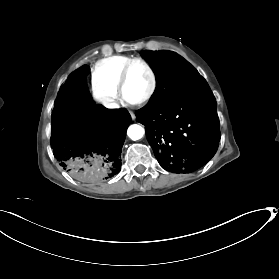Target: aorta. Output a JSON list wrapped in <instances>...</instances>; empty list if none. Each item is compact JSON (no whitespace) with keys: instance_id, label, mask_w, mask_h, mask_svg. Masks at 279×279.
Instances as JSON below:
<instances>
[{"instance_id":"obj_1","label":"aorta","mask_w":279,"mask_h":279,"mask_svg":"<svg viewBox=\"0 0 279 279\" xmlns=\"http://www.w3.org/2000/svg\"><path fill=\"white\" fill-rule=\"evenodd\" d=\"M144 133V128L138 124L130 125L127 130V135L134 141L141 139Z\"/></svg>"}]
</instances>
